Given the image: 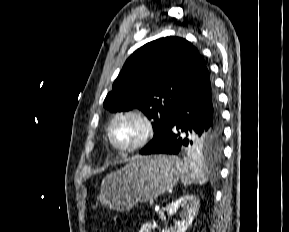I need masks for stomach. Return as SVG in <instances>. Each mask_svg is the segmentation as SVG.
<instances>
[{"label":"stomach","mask_w":289,"mask_h":232,"mask_svg":"<svg viewBox=\"0 0 289 232\" xmlns=\"http://www.w3.org/2000/svg\"><path fill=\"white\" fill-rule=\"evenodd\" d=\"M179 164L173 156H136L102 181L99 200L110 209L128 211L172 189L178 181Z\"/></svg>","instance_id":"stomach-1"}]
</instances>
